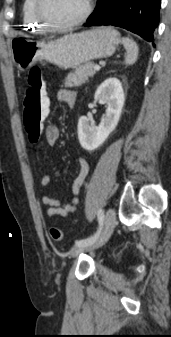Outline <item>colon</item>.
Returning a JSON list of instances; mask_svg holds the SVG:
<instances>
[{
	"label": "colon",
	"instance_id": "1",
	"mask_svg": "<svg viewBox=\"0 0 171 337\" xmlns=\"http://www.w3.org/2000/svg\"><path fill=\"white\" fill-rule=\"evenodd\" d=\"M50 94H45V82L38 67L31 69L27 78L24 97V128L31 142H36L42 132L45 116H50ZM51 238L55 241L63 240V232L58 227L49 229Z\"/></svg>",
	"mask_w": 171,
	"mask_h": 337
}]
</instances>
